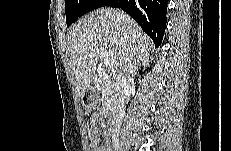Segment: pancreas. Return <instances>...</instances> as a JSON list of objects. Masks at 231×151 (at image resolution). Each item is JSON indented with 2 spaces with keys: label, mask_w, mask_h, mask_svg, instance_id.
<instances>
[{
  "label": "pancreas",
  "mask_w": 231,
  "mask_h": 151,
  "mask_svg": "<svg viewBox=\"0 0 231 151\" xmlns=\"http://www.w3.org/2000/svg\"><path fill=\"white\" fill-rule=\"evenodd\" d=\"M97 85L102 93L103 105L109 109L114 101L115 86L110 80L106 79L104 75L99 78Z\"/></svg>",
  "instance_id": "obj_1"
}]
</instances>
